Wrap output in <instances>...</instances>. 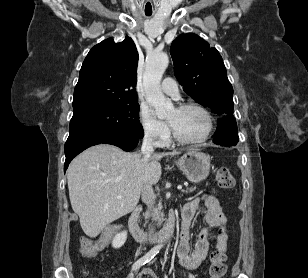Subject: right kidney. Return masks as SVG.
Returning <instances> with one entry per match:
<instances>
[{
  "instance_id": "obj_1",
  "label": "right kidney",
  "mask_w": 308,
  "mask_h": 278,
  "mask_svg": "<svg viewBox=\"0 0 308 278\" xmlns=\"http://www.w3.org/2000/svg\"><path fill=\"white\" fill-rule=\"evenodd\" d=\"M126 239H127V232L126 231L118 233L113 238L112 246L115 249H118V248H120V247H122L124 245V243L126 242Z\"/></svg>"
}]
</instances>
